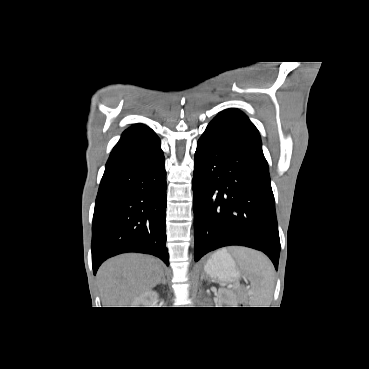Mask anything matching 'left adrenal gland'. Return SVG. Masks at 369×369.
<instances>
[{
    "label": "left adrenal gland",
    "instance_id": "left-adrenal-gland-1",
    "mask_svg": "<svg viewBox=\"0 0 369 369\" xmlns=\"http://www.w3.org/2000/svg\"><path fill=\"white\" fill-rule=\"evenodd\" d=\"M203 279L210 281V279L208 278V276L204 272H202V274H201V280H203Z\"/></svg>",
    "mask_w": 369,
    "mask_h": 369
}]
</instances>
